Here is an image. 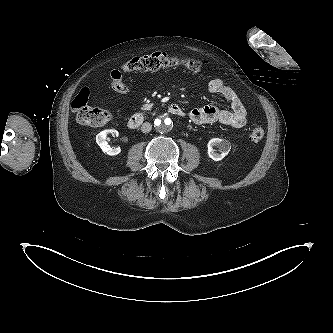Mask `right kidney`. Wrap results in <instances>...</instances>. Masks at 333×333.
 I'll return each mask as SVG.
<instances>
[{"label":"right kidney","mask_w":333,"mask_h":333,"mask_svg":"<svg viewBox=\"0 0 333 333\" xmlns=\"http://www.w3.org/2000/svg\"><path fill=\"white\" fill-rule=\"evenodd\" d=\"M107 134H112L113 136H118V131L114 129L101 131L96 135V142L102 149V151L108 155H117L121 152L120 147L111 148L110 145L106 142Z\"/></svg>","instance_id":"right-kidney-1"}]
</instances>
